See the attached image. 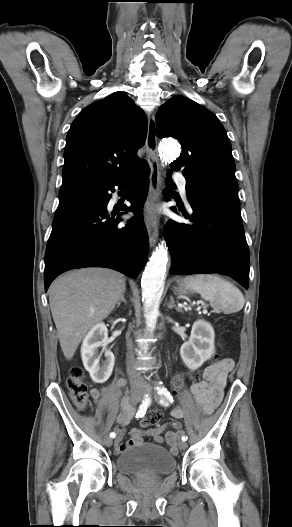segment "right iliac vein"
<instances>
[{
	"label": "right iliac vein",
	"mask_w": 292,
	"mask_h": 527,
	"mask_svg": "<svg viewBox=\"0 0 292 527\" xmlns=\"http://www.w3.org/2000/svg\"><path fill=\"white\" fill-rule=\"evenodd\" d=\"M142 398V393L141 392H133L132 395H131V400L133 403H138ZM113 443V440L111 437H107L105 438V444L106 446L110 447Z\"/></svg>",
	"instance_id": "1"
}]
</instances>
